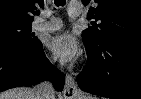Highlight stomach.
<instances>
[{
  "instance_id": "obj_1",
  "label": "stomach",
  "mask_w": 141,
  "mask_h": 99,
  "mask_svg": "<svg viewBox=\"0 0 141 99\" xmlns=\"http://www.w3.org/2000/svg\"><path fill=\"white\" fill-rule=\"evenodd\" d=\"M71 99H80V98L72 97ZM84 99H86V98H84Z\"/></svg>"
}]
</instances>
